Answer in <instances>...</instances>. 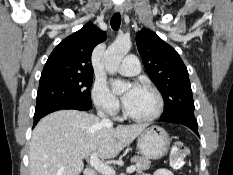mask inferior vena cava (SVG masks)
Returning <instances> with one entry per match:
<instances>
[{
    "instance_id": "inferior-vena-cava-1",
    "label": "inferior vena cava",
    "mask_w": 233,
    "mask_h": 175,
    "mask_svg": "<svg viewBox=\"0 0 233 175\" xmlns=\"http://www.w3.org/2000/svg\"><path fill=\"white\" fill-rule=\"evenodd\" d=\"M98 116L102 118V122L105 124H112L111 120L106 117L104 112L98 111Z\"/></svg>"
}]
</instances>
